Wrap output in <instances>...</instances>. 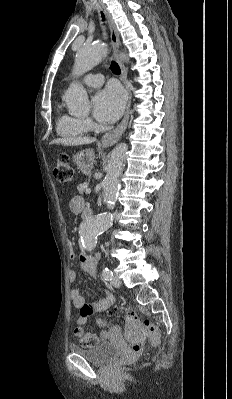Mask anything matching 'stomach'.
Returning <instances> with one entry per match:
<instances>
[{"instance_id": "stomach-1", "label": "stomach", "mask_w": 232, "mask_h": 399, "mask_svg": "<svg viewBox=\"0 0 232 399\" xmlns=\"http://www.w3.org/2000/svg\"><path fill=\"white\" fill-rule=\"evenodd\" d=\"M74 162L78 170H81L82 174L88 176L94 166L95 154L93 150H82V152L75 154Z\"/></svg>"}]
</instances>
